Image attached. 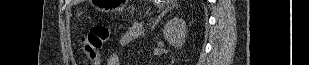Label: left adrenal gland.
Returning a JSON list of instances; mask_svg holds the SVG:
<instances>
[{
    "instance_id": "left-adrenal-gland-1",
    "label": "left adrenal gland",
    "mask_w": 309,
    "mask_h": 65,
    "mask_svg": "<svg viewBox=\"0 0 309 65\" xmlns=\"http://www.w3.org/2000/svg\"><path fill=\"white\" fill-rule=\"evenodd\" d=\"M165 15V13H162L154 22V26L160 21V19Z\"/></svg>"
}]
</instances>
